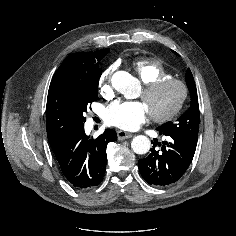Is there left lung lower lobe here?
Here are the masks:
<instances>
[{
  "mask_svg": "<svg viewBox=\"0 0 236 236\" xmlns=\"http://www.w3.org/2000/svg\"><path fill=\"white\" fill-rule=\"evenodd\" d=\"M159 134L169 136L170 142L164 141L161 145L154 139L151 153L138 161V167L147 183L166 186L178 181L186 172L195 154L197 142L162 131ZM157 146H161V149H157Z\"/></svg>",
  "mask_w": 236,
  "mask_h": 236,
  "instance_id": "left-lung-lower-lobe-1",
  "label": "left lung lower lobe"
}]
</instances>
